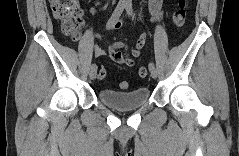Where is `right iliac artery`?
<instances>
[{
	"mask_svg": "<svg viewBox=\"0 0 239 156\" xmlns=\"http://www.w3.org/2000/svg\"><path fill=\"white\" fill-rule=\"evenodd\" d=\"M124 8H125V3H122V2L118 3L110 19L107 22V25H106L107 29H111L113 27V25L117 22L122 12L124 11ZM94 67H96L95 63L91 65V68H94Z\"/></svg>",
	"mask_w": 239,
	"mask_h": 156,
	"instance_id": "1",
	"label": "right iliac artery"
}]
</instances>
